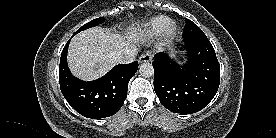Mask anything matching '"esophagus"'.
I'll use <instances>...</instances> for the list:
<instances>
[{
  "label": "esophagus",
  "instance_id": "34e87169",
  "mask_svg": "<svg viewBox=\"0 0 276 138\" xmlns=\"http://www.w3.org/2000/svg\"><path fill=\"white\" fill-rule=\"evenodd\" d=\"M153 58V55L151 52H146L144 54H142L139 58V62L140 63H147L150 62Z\"/></svg>",
  "mask_w": 276,
  "mask_h": 138
}]
</instances>
